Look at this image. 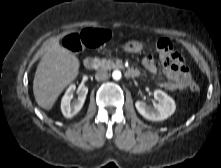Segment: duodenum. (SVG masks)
Here are the masks:
<instances>
[{
    "label": "duodenum",
    "mask_w": 221,
    "mask_h": 168,
    "mask_svg": "<svg viewBox=\"0 0 221 168\" xmlns=\"http://www.w3.org/2000/svg\"><path fill=\"white\" fill-rule=\"evenodd\" d=\"M84 67L88 70H93L96 67V61L93 57H86L83 60ZM126 77H136L138 75V71L136 69H127L125 71Z\"/></svg>",
    "instance_id": "410a0bca"
}]
</instances>
